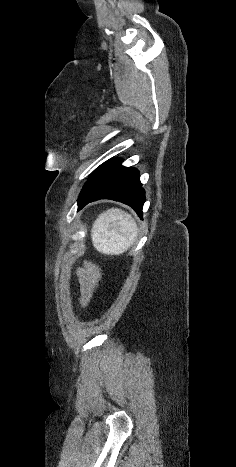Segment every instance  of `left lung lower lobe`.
<instances>
[{
  "label": "left lung lower lobe",
  "mask_w": 236,
  "mask_h": 467,
  "mask_svg": "<svg viewBox=\"0 0 236 467\" xmlns=\"http://www.w3.org/2000/svg\"><path fill=\"white\" fill-rule=\"evenodd\" d=\"M111 199L131 206L142 217L145 191L141 187L139 171L124 167L120 159H110L100 165L83 187L78 198V210L86 204Z\"/></svg>",
  "instance_id": "obj_1"
}]
</instances>
